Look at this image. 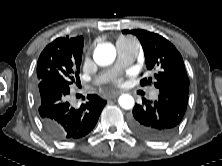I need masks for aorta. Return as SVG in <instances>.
Here are the masks:
<instances>
[{"instance_id": "762f6f07", "label": "aorta", "mask_w": 222, "mask_h": 166, "mask_svg": "<svg viewBox=\"0 0 222 166\" xmlns=\"http://www.w3.org/2000/svg\"><path fill=\"white\" fill-rule=\"evenodd\" d=\"M93 58L98 65H110L116 58V49L111 43L100 44L95 48ZM118 102L126 110L133 108L135 104L134 98L129 94H122Z\"/></svg>"}]
</instances>
